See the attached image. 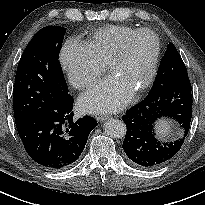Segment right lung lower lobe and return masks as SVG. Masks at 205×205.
Listing matches in <instances>:
<instances>
[{
  "label": "right lung lower lobe",
  "mask_w": 205,
  "mask_h": 205,
  "mask_svg": "<svg viewBox=\"0 0 205 205\" xmlns=\"http://www.w3.org/2000/svg\"><path fill=\"white\" fill-rule=\"evenodd\" d=\"M70 95L53 101L17 126L28 155L51 170H63L75 164L82 153L96 120L84 116L75 121Z\"/></svg>",
  "instance_id": "98d812e1"
}]
</instances>
